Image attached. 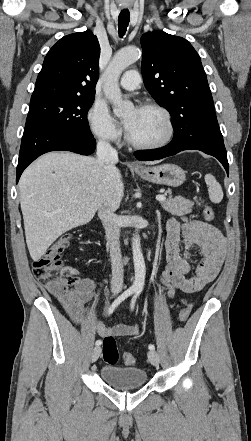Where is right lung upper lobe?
Instances as JSON below:
<instances>
[{
  "label": "right lung upper lobe",
  "mask_w": 251,
  "mask_h": 441,
  "mask_svg": "<svg viewBox=\"0 0 251 441\" xmlns=\"http://www.w3.org/2000/svg\"><path fill=\"white\" fill-rule=\"evenodd\" d=\"M100 45L90 31L61 38L47 53L31 101L59 96H94Z\"/></svg>",
  "instance_id": "right-lung-upper-lobe-1"
}]
</instances>
